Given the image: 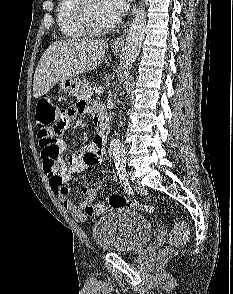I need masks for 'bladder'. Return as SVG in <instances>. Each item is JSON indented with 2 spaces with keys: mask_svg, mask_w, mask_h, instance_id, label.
Listing matches in <instances>:
<instances>
[{
  "mask_svg": "<svg viewBox=\"0 0 233 294\" xmlns=\"http://www.w3.org/2000/svg\"><path fill=\"white\" fill-rule=\"evenodd\" d=\"M92 234L96 245L104 251L134 254L151 240L153 227L142 214L124 207L100 217Z\"/></svg>",
  "mask_w": 233,
  "mask_h": 294,
  "instance_id": "obj_1",
  "label": "bladder"
}]
</instances>
